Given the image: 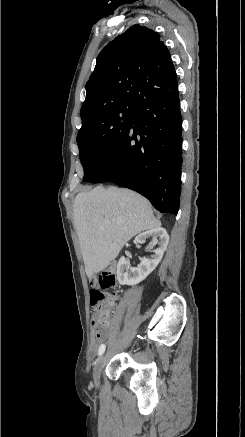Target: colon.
<instances>
[{"instance_id": "colon-1", "label": "colon", "mask_w": 245, "mask_h": 437, "mask_svg": "<svg viewBox=\"0 0 245 437\" xmlns=\"http://www.w3.org/2000/svg\"><path fill=\"white\" fill-rule=\"evenodd\" d=\"M91 284L90 303L94 309L92 321L94 326L93 336L99 339L107 333L106 320L110 305V297L107 290L113 289L116 286L115 266L111 265L94 275Z\"/></svg>"}]
</instances>
